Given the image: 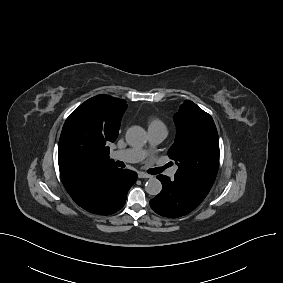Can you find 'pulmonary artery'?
<instances>
[{"label":"pulmonary artery","instance_id":"1","mask_svg":"<svg viewBox=\"0 0 283 283\" xmlns=\"http://www.w3.org/2000/svg\"><path fill=\"white\" fill-rule=\"evenodd\" d=\"M149 141L152 146L161 143L167 136V130L164 127H153L148 129ZM146 152L138 148H130L124 150L114 151L111 154V158L115 160H121L124 162L135 163L144 159ZM177 169L172 168L168 174L173 177Z\"/></svg>","mask_w":283,"mask_h":283}]
</instances>
